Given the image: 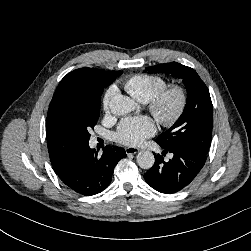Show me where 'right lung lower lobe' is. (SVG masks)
I'll list each match as a JSON object with an SVG mask.
<instances>
[{
	"mask_svg": "<svg viewBox=\"0 0 251 251\" xmlns=\"http://www.w3.org/2000/svg\"><path fill=\"white\" fill-rule=\"evenodd\" d=\"M125 156L123 148L109 145L103 149L102 155H98L85 143L69 149L52 166L69 189L90 196L108 187L116 164Z\"/></svg>",
	"mask_w": 251,
	"mask_h": 251,
	"instance_id": "obj_1",
	"label": "right lung lower lobe"
}]
</instances>
